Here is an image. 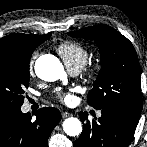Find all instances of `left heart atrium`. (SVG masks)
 <instances>
[{"label": "left heart atrium", "instance_id": "1", "mask_svg": "<svg viewBox=\"0 0 147 147\" xmlns=\"http://www.w3.org/2000/svg\"><path fill=\"white\" fill-rule=\"evenodd\" d=\"M78 89L77 88H73L71 89L70 91L68 92H64V91H59L57 92V98L66 103V104H71L74 102L75 100V96H74V93L77 91Z\"/></svg>", "mask_w": 147, "mask_h": 147}]
</instances>
